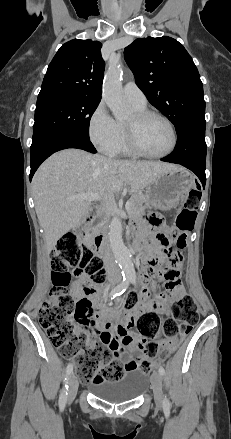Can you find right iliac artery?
I'll return each mask as SVG.
<instances>
[{
  "mask_svg": "<svg viewBox=\"0 0 231 439\" xmlns=\"http://www.w3.org/2000/svg\"><path fill=\"white\" fill-rule=\"evenodd\" d=\"M130 281H131L130 279L124 278L123 281L117 287L112 289V291L110 293L111 299H114L116 296L123 294L125 292V290L128 288ZM72 371H73V364L70 363V364H68V366L66 368L65 385L61 391L60 398H59V404L61 407H64L66 404V401H67L68 380H69L70 375L72 374Z\"/></svg>",
  "mask_w": 231,
  "mask_h": 439,
  "instance_id": "right-iliac-artery-1",
  "label": "right iliac artery"
}]
</instances>
